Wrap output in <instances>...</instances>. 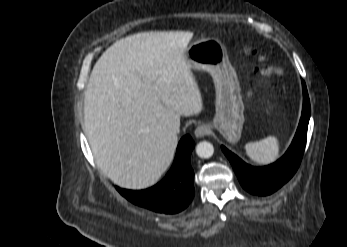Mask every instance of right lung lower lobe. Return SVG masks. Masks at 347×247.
Listing matches in <instances>:
<instances>
[{
	"label": "right lung lower lobe",
	"instance_id": "obj_1",
	"mask_svg": "<svg viewBox=\"0 0 347 247\" xmlns=\"http://www.w3.org/2000/svg\"><path fill=\"white\" fill-rule=\"evenodd\" d=\"M193 148L191 137L184 136L178 144L170 171L157 185L140 191L116 189L132 203L155 212L174 214L182 211L194 197V172L190 164Z\"/></svg>",
	"mask_w": 347,
	"mask_h": 247
}]
</instances>
